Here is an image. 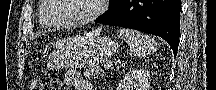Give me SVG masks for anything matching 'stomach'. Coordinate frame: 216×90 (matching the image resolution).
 Segmentation results:
<instances>
[{
  "mask_svg": "<svg viewBox=\"0 0 216 90\" xmlns=\"http://www.w3.org/2000/svg\"><path fill=\"white\" fill-rule=\"evenodd\" d=\"M117 49V42L111 38H91L73 52L52 54L47 61V67L57 71L68 67L97 66L112 58Z\"/></svg>",
  "mask_w": 216,
  "mask_h": 90,
  "instance_id": "0dacf381",
  "label": "stomach"
}]
</instances>
